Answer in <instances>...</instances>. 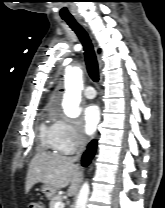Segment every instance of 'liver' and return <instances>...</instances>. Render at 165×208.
Wrapping results in <instances>:
<instances>
[{
    "instance_id": "liver-1",
    "label": "liver",
    "mask_w": 165,
    "mask_h": 208,
    "mask_svg": "<svg viewBox=\"0 0 165 208\" xmlns=\"http://www.w3.org/2000/svg\"><path fill=\"white\" fill-rule=\"evenodd\" d=\"M82 178L80 167L71 157L59 154L38 153L31 160L27 172L25 192L28 193L36 183H43L59 190L67 187L68 196H73Z\"/></svg>"
}]
</instances>
